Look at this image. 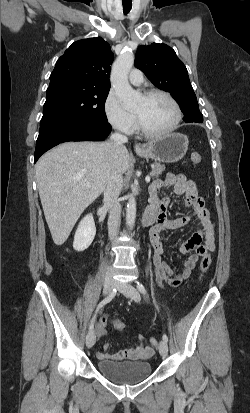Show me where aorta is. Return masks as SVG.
<instances>
[{
	"mask_svg": "<svg viewBox=\"0 0 250 413\" xmlns=\"http://www.w3.org/2000/svg\"><path fill=\"white\" fill-rule=\"evenodd\" d=\"M134 64V55L125 52L119 55L113 64L111 72V84L116 95L122 100L125 108H134L141 99V93L133 90L128 83V74ZM136 218V200L131 194L128 196L126 208V223L132 229Z\"/></svg>",
	"mask_w": 250,
	"mask_h": 413,
	"instance_id": "1",
	"label": "aorta"
}]
</instances>
